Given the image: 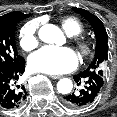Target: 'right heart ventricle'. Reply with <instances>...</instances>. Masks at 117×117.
Returning a JSON list of instances; mask_svg holds the SVG:
<instances>
[{
    "instance_id": "right-heart-ventricle-1",
    "label": "right heart ventricle",
    "mask_w": 117,
    "mask_h": 117,
    "mask_svg": "<svg viewBox=\"0 0 117 117\" xmlns=\"http://www.w3.org/2000/svg\"><path fill=\"white\" fill-rule=\"evenodd\" d=\"M61 24L66 33L70 36L79 35L83 31L82 23L72 16L62 18Z\"/></svg>"
}]
</instances>
